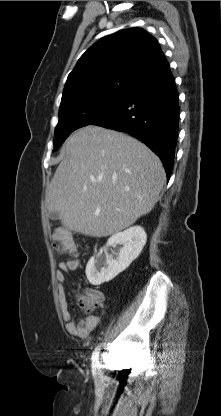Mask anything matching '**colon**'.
Instances as JSON below:
<instances>
[{"mask_svg":"<svg viewBox=\"0 0 221 416\" xmlns=\"http://www.w3.org/2000/svg\"><path fill=\"white\" fill-rule=\"evenodd\" d=\"M53 240L54 249L58 253L69 255L71 257L78 256L77 245L67 230L62 229L55 231L53 234ZM101 300V296L95 291H91L86 295H79L78 298L80 307L86 312L91 311L100 303Z\"/></svg>","mask_w":221,"mask_h":416,"instance_id":"5ec220e1","label":"colon"}]
</instances>
